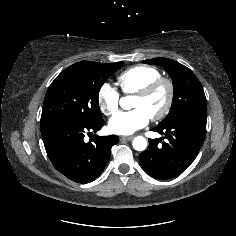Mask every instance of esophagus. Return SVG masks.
<instances>
[{
    "label": "esophagus",
    "mask_w": 236,
    "mask_h": 236,
    "mask_svg": "<svg viewBox=\"0 0 236 236\" xmlns=\"http://www.w3.org/2000/svg\"><path fill=\"white\" fill-rule=\"evenodd\" d=\"M134 136H121V140H132Z\"/></svg>",
    "instance_id": "obj_1"
}]
</instances>
